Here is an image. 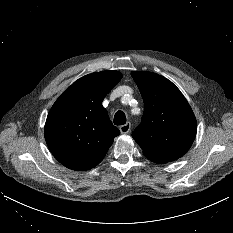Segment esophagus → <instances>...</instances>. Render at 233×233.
I'll return each mask as SVG.
<instances>
[{
    "label": "esophagus",
    "mask_w": 233,
    "mask_h": 233,
    "mask_svg": "<svg viewBox=\"0 0 233 233\" xmlns=\"http://www.w3.org/2000/svg\"><path fill=\"white\" fill-rule=\"evenodd\" d=\"M131 130V124L129 122H127L126 124L120 126V132L122 134H127L129 133Z\"/></svg>",
    "instance_id": "esophagus-1"
}]
</instances>
